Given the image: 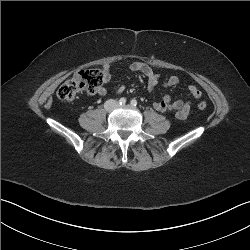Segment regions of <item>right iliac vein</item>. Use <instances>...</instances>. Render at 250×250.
<instances>
[{
  "mask_svg": "<svg viewBox=\"0 0 250 250\" xmlns=\"http://www.w3.org/2000/svg\"><path fill=\"white\" fill-rule=\"evenodd\" d=\"M116 106H117V103H116L114 100H110V101H108L107 104H106V108H107L108 110H111V109H113V108L116 107Z\"/></svg>",
  "mask_w": 250,
  "mask_h": 250,
  "instance_id": "1",
  "label": "right iliac vein"
}]
</instances>
